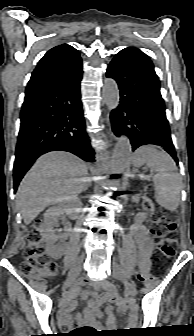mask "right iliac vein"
Segmentation results:
<instances>
[{
	"instance_id": "63e3f726",
	"label": "right iliac vein",
	"mask_w": 194,
	"mask_h": 336,
	"mask_svg": "<svg viewBox=\"0 0 194 336\" xmlns=\"http://www.w3.org/2000/svg\"><path fill=\"white\" fill-rule=\"evenodd\" d=\"M83 263H84V257H80L75 266L69 272V275L64 283V288L71 286L75 282L77 277L80 275Z\"/></svg>"
}]
</instances>
